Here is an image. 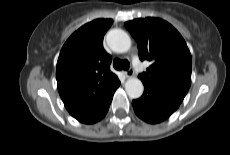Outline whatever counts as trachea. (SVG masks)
<instances>
[{"mask_svg":"<svg viewBox=\"0 0 230 155\" xmlns=\"http://www.w3.org/2000/svg\"><path fill=\"white\" fill-rule=\"evenodd\" d=\"M113 66L116 70H128L129 69V62L128 60H121L119 58L114 59Z\"/></svg>","mask_w":230,"mask_h":155,"instance_id":"3493384b","label":"trachea"}]
</instances>
